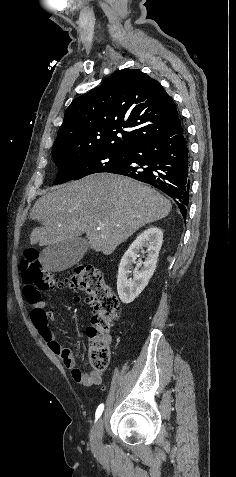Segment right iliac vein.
I'll list each match as a JSON object with an SVG mask.
<instances>
[{
  "label": "right iliac vein",
  "mask_w": 236,
  "mask_h": 477,
  "mask_svg": "<svg viewBox=\"0 0 236 477\" xmlns=\"http://www.w3.org/2000/svg\"><path fill=\"white\" fill-rule=\"evenodd\" d=\"M104 418H100L91 432V446L96 454L103 450L102 436H103Z\"/></svg>",
  "instance_id": "right-iliac-vein-1"
}]
</instances>
